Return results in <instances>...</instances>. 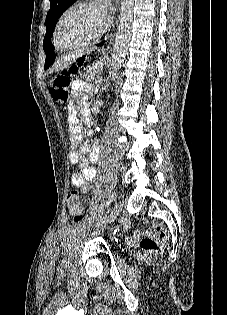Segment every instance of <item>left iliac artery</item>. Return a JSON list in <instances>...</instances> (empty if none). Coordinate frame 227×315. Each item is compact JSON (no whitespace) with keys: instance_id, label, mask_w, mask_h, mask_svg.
I'll return each mask as SVG.
<instances>
[{"instance_id":"left-iliac-artery-1","label":"left iliac artery","mask_w":227,"mask_h":315,"mask_svg":"<svg viewBox=\"0 0 227 315\" xmlns=\"http://www.w3.org/2000/svg\"><path fill=\"white\" fill-rule=\"evenodd\" d=\"M116 197L115 193H113L112 195H110L107 203H106V207L108 208L110 206V204L112 203V201L114 200V198Z\"/></svg>"}]
</instances>
